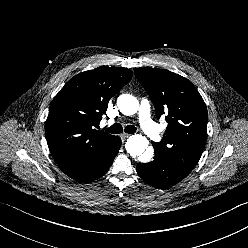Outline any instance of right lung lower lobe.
<instances>
[{
  "mask_svg": "<svg viewBox=\"0 0 248 248\" xmlns=\"http://www.w3.org/2000/svg\"><path fill=\"white\" fill-rule=\"evenodd\" d=\"M120 146V137L113 136L97 156L87 160L80 168L65 172V174L80 182H90L100 178L110 168Z\"/></svg>",
  "mask_w": 248,
  "mask_h": 248,
  "instance_id": "98d812e1",
  "label": "right lung lower lobe"
}]
</instances>
